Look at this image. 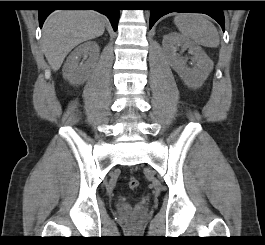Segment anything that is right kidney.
<instances>
[{
    "mask_svg": "<svg viewBox=\"0 0 265 245\" xmlns=\"http://www.w3.org/2000/svg\"><path fill=\"white\" fill-rule=\"evenodd\" d=\"M99 51V46L94 41L77 47L68 56L63 66V77L73 85L83 84L97 64ZM81 58H83L82 62H80Z\"/></svg>",
    "mask_w": 265,
    "mask_h": 245,
    "instance_id": "right-kidney-1",
    "label": "right kidney"
}]
</instances>
